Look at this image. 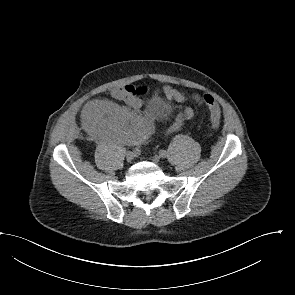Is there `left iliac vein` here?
Segmentation results:
<instances>
[{"label":"left iliac vein","instance_id":"left-iliac-vein-1","mask_svg":"<svg viewBox=\"0 0 295 295\" xmlns=\"http://www.w3.org/2000/svg\"><path fill=\"white\" fill-rule=\"evenodd\" d=\"M160 159L161 157L159 155H154L152 157V161L155 163V164H158L160 162Z\"/></svg>","mask_w":295,"mask_h":295}]
</instances>
